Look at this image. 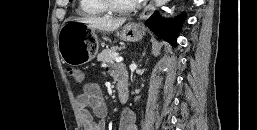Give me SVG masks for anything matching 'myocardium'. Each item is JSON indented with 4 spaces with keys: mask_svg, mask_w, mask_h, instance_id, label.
<instances>
[{
    "mask_svg": "<svg viewBox=\"0 0 257 130\" xmlns=\"http://www.w3.org/2000/svg\"><path fill=\"white\" fill-rule=\"evenodd\" d=\"M100 5L105 8L106 11L114 12V13H130L137 10L140 7L141 1H137L136 3L130 6H120L114 0H98Z\"/></svg>",
    "mask_w": 257,
    "mask_h": 130,
    "instance_id": "f54148a6",
    "label": "myocardium"
}]
</instances>
